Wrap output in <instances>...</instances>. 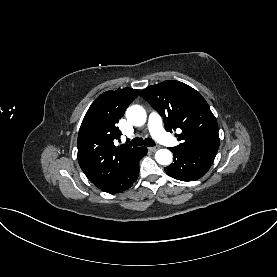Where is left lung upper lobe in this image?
<instances>
[{
	"label": "left lung upper lobe",
	"instance_id": "left-lung-upper-lobe-1",
	"mask_svg": "<svg viewBox=\"0 0 277 277\" xmlns=\"http://www.w3.org/2000/svg\"><path fill=\"white\" fill-rule=\"evenodd\" d=\"M140 96L163 117L165 128H181V143L174 148L218 149L216 118L205 99L192 87L179 81H164L142 90Z\"/></svg>",
	"mask_w": 277,
	"mask_h": 277
}]
</instances>
